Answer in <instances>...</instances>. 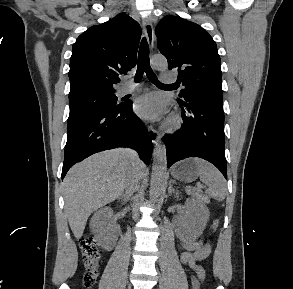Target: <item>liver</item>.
<instances>
[{"label":"liver","instance_id":"liver-1","mask_svg":"<svg viewBox=\"0 0 293 289\" xmlns=\"http://www.w3.org/2000/svg\"><path fill=\"white\" fill-rule=\"evenodd\" d=\"M133 169L144 175V165L118 148L94 154L69 170L63 181L65 210L76 239L93 211L121 196Z\"/></svg>","mask_w":293,"mask_h":289}]
</instances>
